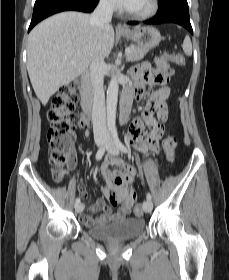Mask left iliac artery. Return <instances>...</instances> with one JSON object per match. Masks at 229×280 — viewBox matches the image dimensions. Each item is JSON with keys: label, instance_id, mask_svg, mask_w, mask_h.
Returning a JSON list of instances; mask_svg holds the SVG:
<instances>
[{"label": "left iliac artery", "instance_id": "obj_1", "mask_svg": "<svg viewBox=\"0 0 229 280\" xmlns=\"http://www.w3.org/2000/svg\"><path fill=\"white\" fill-rule=\"evenodd\" d=\"M112 137L114 140L115 145L118 147L119 150H121L124 153H130L129 149L120 141L118 137V132L116 129L112 130ZM147 200H151V194L147 193L146 195Z\"/></svg>", "mask_w": 229, "mask_h": 280}]
</instances>
